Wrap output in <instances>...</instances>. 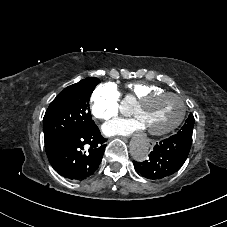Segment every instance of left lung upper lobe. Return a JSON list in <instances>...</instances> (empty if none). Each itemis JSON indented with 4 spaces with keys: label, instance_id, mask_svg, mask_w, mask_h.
<instances>
[{
    "label": "left lung upper lobe",
    "instance_id": "obj_1",
    "mask_svg": "<svg viewBox=\"0 0 227 227\" xmlns=\"http://www.w3.org/2000/svg\"><path fill=\"white\" fill-rule=\"evenodd\" d=\"M193 127H194V117H193L192 114H190L189 117H188V119L186 120V123L177 132L176 135H178V136H184V137H191L192 138Z\"/></svg>",
    "mask_w": 227,
    "mask_h": 227
}]
</instances>
